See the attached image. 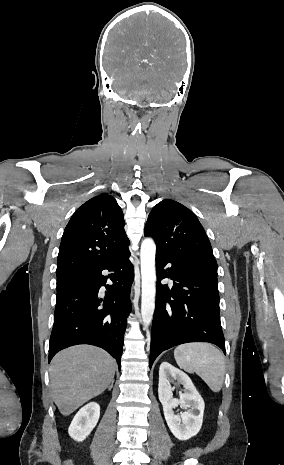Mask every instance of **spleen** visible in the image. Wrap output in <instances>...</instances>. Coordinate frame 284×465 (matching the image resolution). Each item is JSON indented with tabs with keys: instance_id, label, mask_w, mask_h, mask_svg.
<instances>
[{
	"instance_id": "1",
	"label": "spleen",
	"mask_w": 284,
	"mask_h": 465,
	"mask_svg": "<svg viewBox=\"0 0 284 465\" xmlns=\"http://www.w3.org/2000/svg\"><path fill=\"white\" fill-rule=\"evenodd\" d=\"M174 357L180 369L199 375L213 393L221 391L225 377V361L216 347L210 343H186L176 347Z\"/></svg>"
}]
</instances>
